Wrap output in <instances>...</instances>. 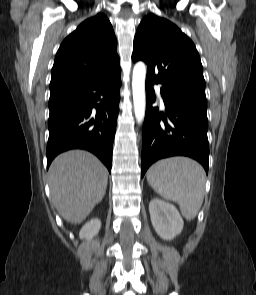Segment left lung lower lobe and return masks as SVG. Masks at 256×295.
Returning <instances> with one entry per match:
<instances>
[{"label": "left lung lower lobe", "instance_id": "left-lung-lower-lobe-1", "mask_svg": "<svg viewBox=\"0 0 256 295\" xmlns=\"http://www.w3.org/2000/svg\"><path fill=\"white\" fill-rule=\"evenodd\" d=\"M154 82L146 78V114L143 125L141 177L155 161L171 156H188L209 167L207 105L165 94V115L152 107Z\"/></svg>", "mask_w": 256, "mask_h": 295}]
</instances>
